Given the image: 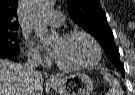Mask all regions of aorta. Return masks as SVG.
<instances>
[{
    "label": "aorta",
    "instance_id": "762f6f07",
    "mask_svg": "<svg viewBox=\"0 0 135 95\" xmlns=\"http://www.w3.org/2000/svg\"><path fill=\"white\" fill-rule=\"evenodd\" d=\"M53 6L52 0H33L32 11L35 19L34 30L37 36L41 39L50 41L56 37L55 32H50L47 25L42 23L40 19L44 14L49 11Z\"/></svg>",
    "mask_w": 135,
    "mask_h": 95
}]
</instances>
